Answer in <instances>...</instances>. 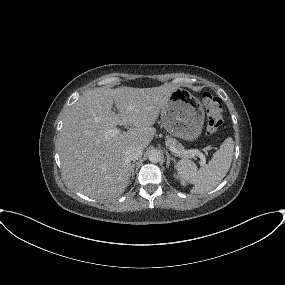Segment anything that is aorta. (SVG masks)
<instances>
[{"mask_svg":"<svg viewBox=\"0 0 285 285\" xmlns=\"http://www.w3.org/2000/svg\"><path fill=\"white\" fill-rule=\"evenodd\" d=\"M162 154L160 151L153 149L148 153V159L152 163H158L161 161Z\"/></svg>","mask_w":285,"mask_h":285,"instance_id":"1","label":"aorta"}]
</instances>
